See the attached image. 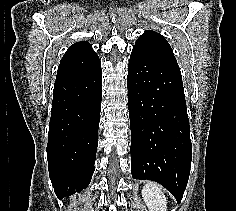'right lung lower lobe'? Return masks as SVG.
I'll use <instances>...</instances> for the list:
<instances>
[{
  "label": "right lung lower lobe",
  "mask_w": 236,
  "mask_h": 211,
  "mask_svg": "<svg viewBox=\"0 0 236 211\" xmlns=\"http://www.w3.org/2000/svg\"><path fill=\"white\" fill-rule=\"evenodd\" d=\"M102 99L101 67L55 82L47 160L58 198L85 189L95 170Z\"/></svg>",
  "instance_id": "right-lung-lower-lobe-1"
}]
</instances>
